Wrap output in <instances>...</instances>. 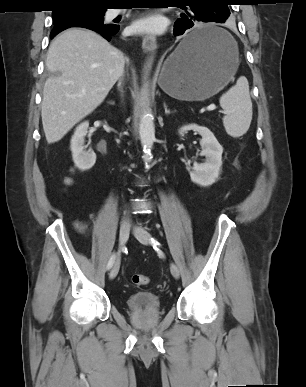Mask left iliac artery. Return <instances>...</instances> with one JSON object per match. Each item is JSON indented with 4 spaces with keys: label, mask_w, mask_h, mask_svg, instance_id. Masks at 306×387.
I'll list each match as a JSON object with an SVG mask.
<instances>
[{
    "label": "left iliac artery",
    "mask_w": 306,
    "mask_h": 387,
    "mask_svg": "<svg viewBox=\"0 0 306 387\" xmlns=\"http://www.w3.org/2000/svg\"><path fill=\"white\" fill-rule=\"evenodd\" d=\"M151 243H152V245L154 246V248H156L157 246H159V243H158L154 238H151Z\"/></svg>",
    "instance_id": "obj_1"
}]
</instances>
